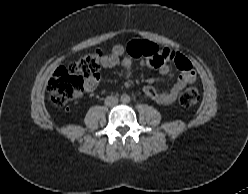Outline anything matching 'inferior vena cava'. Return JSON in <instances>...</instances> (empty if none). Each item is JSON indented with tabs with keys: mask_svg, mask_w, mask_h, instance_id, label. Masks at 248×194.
I'll list each match as a JSON object with an SVG mask.
<instances>
[{
	"mask_svg": "<svg viewBox=\"0 0 248 194\" xmlns=\"http://www.w3.org/2000/svg\"><path fill=\"white\" fill-rule=\"evenodd\" d=\"M118 103V98L115 96H107L105 99V104L107 106H114Z\"/></svg>",
	"mask_w": 248,
	"mask_h": 194,
	"instance_id": "inferior-vena-cava-1",
	"label": "inferior vena cava"
}]
</instances>
